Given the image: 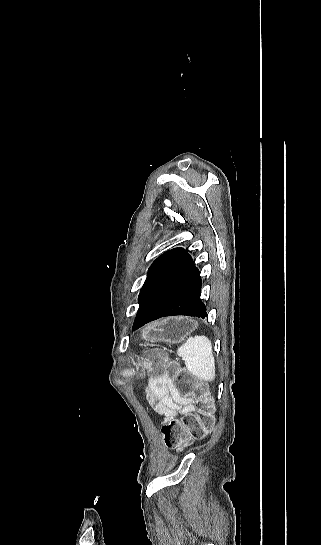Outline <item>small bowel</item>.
<instances>
[{
    "label": "small bowel",
    "mask_w": 321,
    "mask_h": 545,
    "mask_svg": "<svg viewBox=\"0 0 321 545\" xmlns=\"http://www.w3.org/2000/svg\"><path fill=\"white\" fill-rule=\"evenodd\" d=\"M147 397L153 409L163 415L165 420L194 410L192 398L183 397L175 392L168 377L151 378L147 387Z\"/></svg>",
    "instance_id": "1"
}]
</instances>
